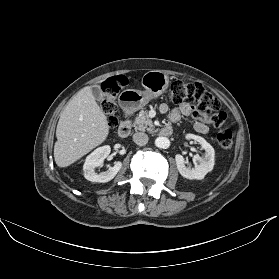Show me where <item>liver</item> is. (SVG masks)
Returning a JSON list of instances; mask_svg holds the SVG:
<instances>
[{
  "label": "liver",
  "mask_w": 279,
  "mask_h": 279,
  "mask_svg": "<svg viewBox=\"0 0 279 279\" xmlns=\"http://www.w3.org/2000/svg\"><path fill=\"white\" fill-rule=\"evenodd\" d=\"M90 86L81 89L66 104L56 128L54 159L67 167L102 144L108 134L107 117L98 106Z\"/></svg>",
  "instance_id": "6515ba94"
}]
</instances>
